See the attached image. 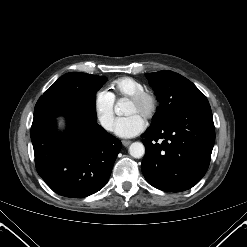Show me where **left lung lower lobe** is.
<instances>
[{"label": "left lung lower lobe", "instance_id": "1", "mask_svg": "<svg viewBox=\"0 0 247 247\" xmlns=\"http://www.w3.org/2000/svg\"><path fill=\"white\" fill-rule=\"evenodd\" d=\"M146 153L141 169L154 187L167 192L190 189L205 175L215 142L209 104L188 108L142 135Z\"/></svg>", "mask_w": 247, "mask_h": 247}]
</instances>
